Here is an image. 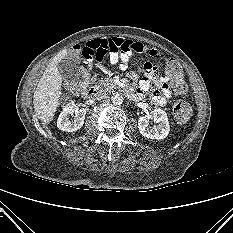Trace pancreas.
<instances>
[{
  "label": "pancreas",
  "mask_w": 233,
  "mask_h": 233,
  "mask_svg": "<svg viewBox=\"0 0 233 233\" xmlns=\"http://www.w3.org/2000/svg\"><path fill=\"white\" fill-rule=\"evenodd\" d=\"M95 88L100 91H111L113 88H116V84L112 78H106L99 80L96 83Z\"/></svg>",
  "instance_id": "obj_1"
}]
</instances>
